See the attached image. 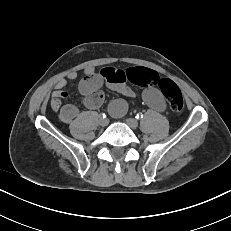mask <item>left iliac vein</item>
<instances>
[{
    "mask_svg": "<svg viewBox=\"0 0 231 231\" xmlns=\"http://www.w3.org/2000/svg\"><path fill=\"white\" fill-rule=\"evenodd\" d=\"M126 123L131 129H136L138 127V122L134 118H128Z\"/></svg>",
    "mask_w": 231,
    "mask_h": 231,
    "instance_id": "4c4485c4",
    "label": "left iliac vein"
}]
</instances>
